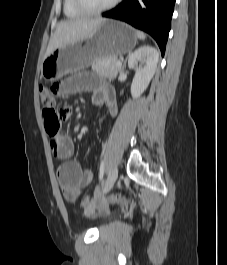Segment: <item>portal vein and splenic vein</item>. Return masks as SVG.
I'll return each instance as SVG.
<instances>
[{
    "label": "portal vein and splenic vein",
    "mask_w": 227,
    "mask_h": 265,
    "mask_svg": "<svg viewBox=\"0 0 227 265\" xmlns=\"http://www.w3.org/2000/svg\"><path fill=\"white\" fill-rule=\"evenodd\" d=\"M116 65H117V66H121V65H122L121 61H118V62L116 63Z\"/></svg>",
    "instance_id": "18ae733b"
}]
</instances>
